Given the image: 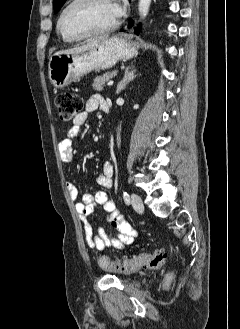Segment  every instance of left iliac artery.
Masks as SVG:
<instances>
[{
  "label": "left iliac artery",
  "mask_w": 240,
  "mask_h": 329,
  "mask_svg": "<svg viewBox=\"0 0 240 329\" xmlns=\"http://www.w3.org/2000/svg\"><path fill=\"white\" fill-rule=\"evenodd\" d=\"M123 198H124V201H125L126 204L130 203V197H129L127 192L123 193Z\"/></svg>",
  "instance_id": "obj_1"
}]
</instances>
